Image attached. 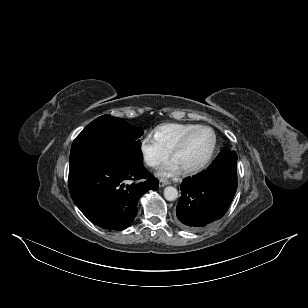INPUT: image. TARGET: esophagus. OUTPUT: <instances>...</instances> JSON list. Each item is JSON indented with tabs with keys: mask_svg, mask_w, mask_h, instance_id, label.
Instances as JSON below:
<instances>
[{
	"mask_svg": "<svg viewBox=\"0 0 308 308\" xmlns=\"http://www.w3.org/2000/svg\"><path fill=\"white\" fill-rule=\"evenodd\" d=\"M169 184H170V182L167 181V180H160L159 181V187H164V186H167Z\"/></svg>",
	"mask_w": 308,
	"mask_h": 308,
	"instance_id": "esophagus-1",
	"label": "esophagus"
}]
</instances>
